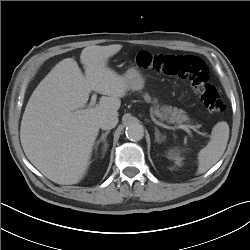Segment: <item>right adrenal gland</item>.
<instances>
[{
  "mask_svg": "<svg viewBox=\"0 0 250 250\" xmlns=\"http://www.w3.org/2000/svg\"><path fill=\"white\" fill-rule=\"evenodd\" d=\"M110 133V131H107L105 133H103L100 137V139L96 142V148H97V145H99L100 142H103L104 143V149H103V156L105 154V152L107 151V147H108V144H107V141H106V137L107 135Z\"/></svg>",
  "mask_w": 250,
  "mask_h": 250,
  "instance_id": "obj_1",
  "label": "right adrenal gland"
}]
</instances>
